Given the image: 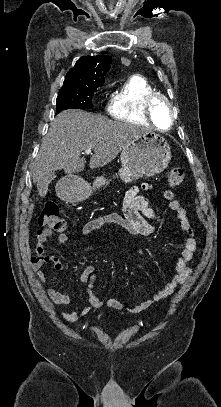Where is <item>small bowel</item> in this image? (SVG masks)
<instances>
[{"instance_id": "small-bowel-1", "label": "small bowel", "mask_w": 221, "mask_h": 407, "mask_svg": "<svg viewBox=\"0 0 221 407\" xmlns=\"http://www.w3.org/2000/svg\"><path fill=\"white\" fill-rule=\"evenodd\" d=\"M153 189L152 185L142 184L139 187H133L125 194L122 206L123 215L111 214L105 217L97 218L88 221L82 228V235L89 236L92 233L114 225L123 228L136 237L149 236L154 232V226L149 220L155 218L152 208L149 206L148 198L144 193ZM170 208L177 214L180 221V228L184 233L183 248L176 259L173 277L165 284V286L153 294L149 299L141 302H127L124 303L116 298L107 300L106 305L116 311H123L128 313H139L148 309L154 303L161 301L170 296L176 288L185 283L191 275V263L194 259L197 250V240L195 233L190 224L187 212L179 200L170 202ZM71 236L66 233H61L57 238V243L62 245L68 242ZM47 239H43L37 235L34 254L31 257V267L36 273L38 282L45 285L47 282L46 274L43 270L44 265L52 264L54 269L60 271L62 264L54 255L45 253V245ZM138 254H142V250H138ZM97 280V274L94 267H87L81 277L80 281L87 286L88 304L81 309L64 313L62 315L64 321L73 323L87 315L92 309L98 308L103 305L93 292L94 284ZM45 292L48 299L55 305L67 306L74 301V297L61 292L53 287H45Z\"/></svg>"}]
</instances>
